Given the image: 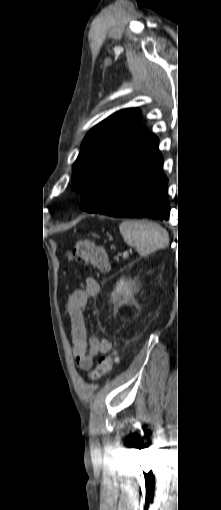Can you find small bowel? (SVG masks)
Masks as SVG:
<instances>
[{
  "instance_id": "obj_1",
  "label": "small bowel",
  "mask_w": 221,
  "mask_h": 510,
  "mask_svg": "<svg viewBox=\"0 0 221 510\" xmlns=\"http://www.w3.org/2000/svg\"><path fill=\"white\" fill-rule=\"evenodd\" d=\"M100 285L93 277L84 280L81 287L74 290L67 302V312L73 342V356L81 370L92 368L95 358L99 354H106L112 348V343L105 337L88 336L85 307L89 297L99 293Z\"/></svg>"
}]
</instances>
